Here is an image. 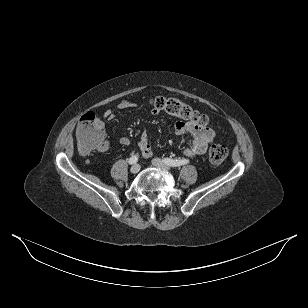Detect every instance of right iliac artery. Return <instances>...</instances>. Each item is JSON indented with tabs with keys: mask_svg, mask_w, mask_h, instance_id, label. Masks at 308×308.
I'll list each match as a JSON object with an SVG mask.
<instances>
[{
	"mask_svg": "<svg viewBox=\"0 0 308 308\" xmlns=\"http://www.w3.org/2000/svg\"><path fill=\"white\" fill-rule=\"evenodd\" d=\"M129 164H135V163H137L138 162V156H132V157H130V159H129Z\"/></svg>",
	"mask_w": 308,
	"mask_h": 308,
	"instance_id": "obj_1",
	"label": "right iliac artery"
}]
</instances>
